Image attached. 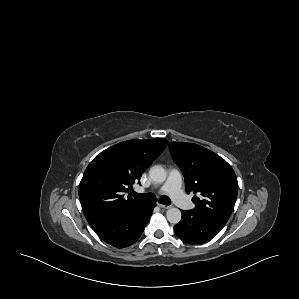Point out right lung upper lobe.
<instances>
[{
    "instance_id": "right-lung-upper-lobe-1",
    "label": "right lung upper lobe",
    "mask_w": 299,
    "mask_h": 299,
    "mask_svg": "<svg viewBox=\"0 0 299 299\" xmlns=\"http://www.w3.org/2000/svg\"><path fill=\"white\" fill-rule=\"evenodd\" d=\"M167 144L161 138L124 141L104 150L90 162L79 185L80 202L90 226L144 204L130 195L125 198L124 194L132 191V185Z\"/></svg>"
}]
</instances>
